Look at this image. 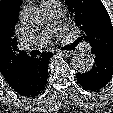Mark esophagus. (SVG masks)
<instances>
[{
    "instance_id": "obj_1",
    "label": "esophagus",
    "mask_w": 113,
    "mask_h": 113,
    "mask_svg": "<svg viewBox=\"0 0 113 113\" xmlns=\"http://www.w3.org/2000/svg\"><path fill=\"white\" fill-rule=\"evenodd\" d=\"M58 52H62L64 55L70 57L75 54V51L73 50H57Z\"/></svg>"
}]
</instances>
